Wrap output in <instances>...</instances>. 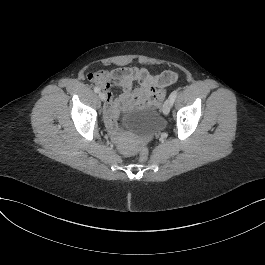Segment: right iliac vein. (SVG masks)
<instances>
[{
	"mask_svg": "<svg viewBox=\"0 0 265 265\" xmlns=\"http://www.w3.org/2000/svg\"><path fill=\"white\" fill-rule=\"evenodd\" d=\"M99 98L102 100V101H105V99H106V96H105V94L104 93H99Z\"/></svg>",
	"mask_w": 265,
	"mask_h": 265,
	"instance_id": "right-iliac-vein-1",
	"label": "right iliac vein"
}]
</instances>
